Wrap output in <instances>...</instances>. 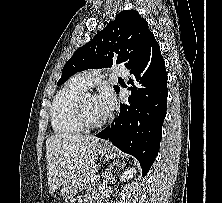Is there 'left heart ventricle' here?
Instances as JSON below:
<instances>
[{
	"instance_id": "obj_1",
	"label": "left heart ventricle",
	"mask_w": 222,
	"mask_h": 203,
	"mask_svg": "<svg viewBox=\"0 0 222 203\" xmlns=\"http://www.w3.org/2000/svg\"><path fill=\"white\" fill-rule=\"evenodd\" d=\"M85 113L89 120L96 122L108 115L102 108L96 96L87 97L84 103Z\"/></svg>"
}]
</instances>
